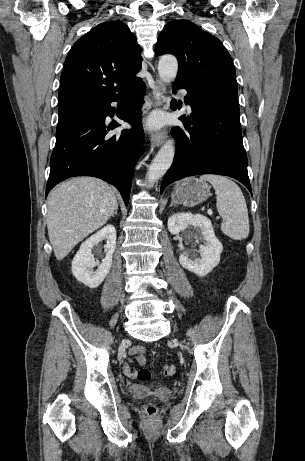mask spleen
Masks as SVG:
<instances>
[{
    "mask_svg": "<svg viewBox=\"0 0 305 461\" xmlns=\"http://www.w3.org/2000/svg\"><path fill=\"white\" fill-rule=\"evenodd\" d=\"M201 182L212 184L216 198L217 210L223 218L222 232L233 240H243L249 235V217L245 198L239 186L225 176L205 174Z\"/></svg>",
    "mask_w": 305,
    "mask_h": 461,
    "instance_id": "spleen-1",
    "label": "spleen"
}]
</instances>
